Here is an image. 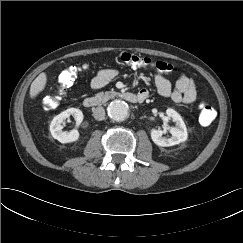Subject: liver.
<instances>
[{
    "label": "liver",
    "instance_id": "6515ba94",
    "mask_svg": "<svg viewBox=\"0 0 243 243\" xmlns=\"http://www.w3.org/2000/svg\"><path fill=\"white\" fill-rule=\"evenodd\" d=\"M47 76L46 73H40L30 86V97L35 98L46 86Z\"/></svg>",
    "mask_w": 243,
    "mask_h": 243
}]
</instances>
